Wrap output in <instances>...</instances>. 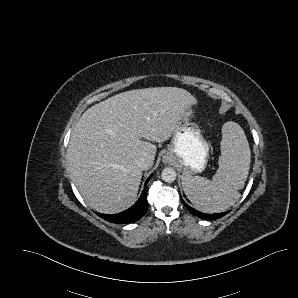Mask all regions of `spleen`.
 <instances>
[{
  "label": "spleen",
  "instance_id": "3e777b00",
  "mask_svg": "<svg viewBox=\"0 0 298 298\" xmlns=\"http://www.w3.org/2000/svg\"><path fill=\"white\" fill-rule=\"evenodd\" d=\"M250 164L251 149L244 129L239 123L228 121L222 128L219 168L212 180L184 173V193L203 213L224 212L240 199L239 191L245 187Z\"/></svg>",
  "mask_w": 298,
  "mask_h": 298
}]
</instances>
